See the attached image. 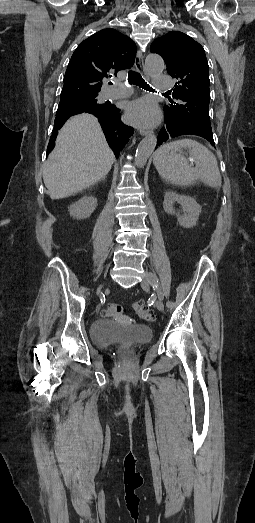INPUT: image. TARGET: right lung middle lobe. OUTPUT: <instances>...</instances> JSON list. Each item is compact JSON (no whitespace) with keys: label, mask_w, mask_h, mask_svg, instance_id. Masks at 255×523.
Segmentation results:
<instances>
[{"label":"right lung middle lobe","mask_w":255,"mask_h":523,"mask_svg":"<svg viewBox=\"0 0 255 523\" xmlns=\"http://www.w3.org/2000/svg\"><path fill=\"white\" fill-rule=\"evenodd\" d=\"M97 96L98 95L74 94L68 96V98L73 100V106L75 108L88 109L90 107V99Z\"/></svg>","instance_id":"right-lung-middle-lobe-1"}]
</instances>
